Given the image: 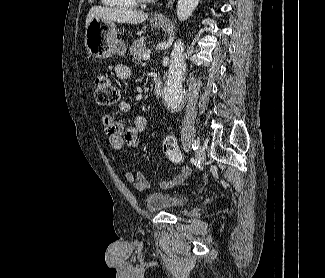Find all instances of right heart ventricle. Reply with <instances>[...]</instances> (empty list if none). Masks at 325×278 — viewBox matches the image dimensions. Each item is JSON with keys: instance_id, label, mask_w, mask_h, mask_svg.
<instances>
[{"instance_id": "e07e8e85", "label": "right heart ventricle", "mask_w": 325, "mask_h": 278, "mask_svg": "<svg viewBox=\"0 0 325 278\" xmlns=\"http://www.w3.org/2000/svg\"><path fill=\"white\" fill-rule=\"evenodd\" d=\"M101 2L108 7L117 9H131L136 7V0H101Z\"/></svg>"}]
</instances>
